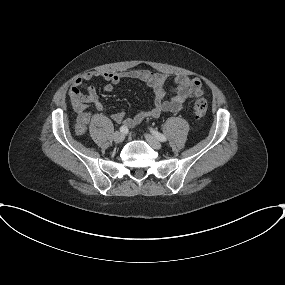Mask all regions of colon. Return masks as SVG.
<instances>
[{
  "label": "colon",
  "mask_w": 285,
  "mask_h": 285,
  "mask_svg": "<svg viewBox=\"0 0 285 285\" xmlns=\"http://www.w3.org/2000/svg\"><path fill=\"white\" fill-rule=\"evenodd\" d=\"M195 103H194V113H195V119L197 122H201L207 112V101L202 96L201 91H198L195 95Z\"/></svg>",
  "instance_id": "obj_1"
}]
</instances>
